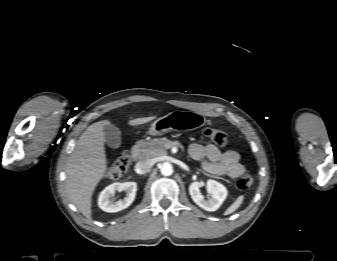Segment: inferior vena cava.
Here are the masks:
<instances>
[{"label":"inferior vena cava","instance_id":"1","mask_svg":"<svg viewBox=\"0 0 337 261\" xmlns=\"http://www.w3.org/2000/svg\"><path fill=\"white\" fill-rule=\"evenodd\" d=\"M153 166V161L148 160H141L135 165V171L138 174H145L150 171Z\"/></svg>","mask_w":337,"mask_h":261}]
</instances>
